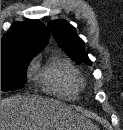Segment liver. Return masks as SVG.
Returning a JSON list of instances; mask_svg holds the SVG:
<instances>
[{"label":"liver","instance_id":"liver-1","mask_svg":"<svg viewBox=\"0 0 123 130\" xmlns=\"http://www.w3.org/2000/svg\"><path fill=\"white\" fill-rule=\"evenodd\" d=\"M82 114L51 98L17 95L1 100V130H94Z\"/></svg>","mask_w":123,"mask_h":130}]
</instances>
